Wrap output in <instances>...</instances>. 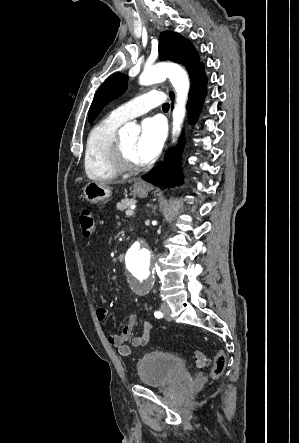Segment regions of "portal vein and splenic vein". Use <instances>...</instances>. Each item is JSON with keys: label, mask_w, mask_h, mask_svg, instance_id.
Instances as JSON below:
<instances>
[{"label": "portal vein and splenic vein", "mask_w": 299, "mask_h": 443, "mask_svg": "<svg viewBox=\"0 0 299 443\" xmlns=\"http://www.w3.org/2000/svg\"><path fill=\"white\" fill-rule=\"evenodd\" d=\"M133 214H134V210H127L126 211L127 216H132Z\"/></svg>", "instance_id": "obj_1"}]
</instances>
